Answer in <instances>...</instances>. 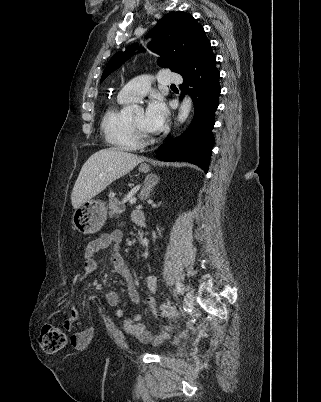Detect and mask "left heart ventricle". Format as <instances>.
Listing matches in <instances>:
<instances>
[{
	"label": "left heart ventricle",
	"mask_w": 321,
	"mask_h": 402,
	"mask_svg": "<svg viewBox=\"0 0 321 402\" xmlns=\"http://www.w3.org/2000/svg\"><path fill=\"white\" fill-rule=\"evenodd\" d=\"M130 121L133 123V125L143 131L146 134H149L145 127H144V114L143 112H139L137 114H134L131 118Z\"/></svg>",
	"instance_id": "obj_1"
}]
</instances>
